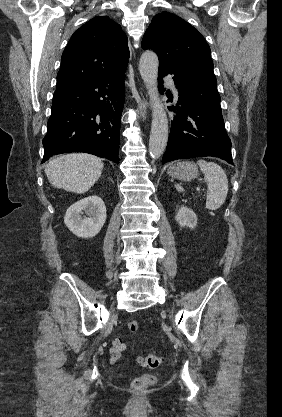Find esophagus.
<instances>
[{"instance_id":"1","label":"esophagus","mask_w":282,"mask_h":417,"mask_svg":"<svg viewBox=\"0 0 282 417\" xmlns=\"http://www.w3.org/2000/svg\"><path fill=\"white\" fill-rule=\"evenodd\" d=\"M138 111L140 112V116L142 120L147 119V101L142 99V101L138 104Z\"/></svg>"}]
</instances>
